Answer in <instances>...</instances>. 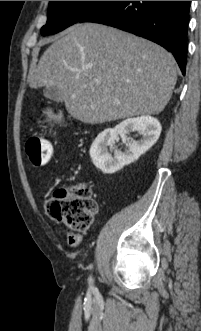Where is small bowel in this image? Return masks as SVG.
Listing matches in <instances>:
<instances>
[{"mask_svg":"<svg viewBox=\"0 0 201 331\" xmlns=\"http://www.w3.org/2000/svg\"><path fill=\"white\" fill-rule=\"evenodd\" d=\"M80 236L78 234H69L68 241L72 246H77L80 243Z\"/></svg>","mask_w":201,"mask_h":331,"instance_id":"c3829d8e","label":"small bowel"}]
</instances>
